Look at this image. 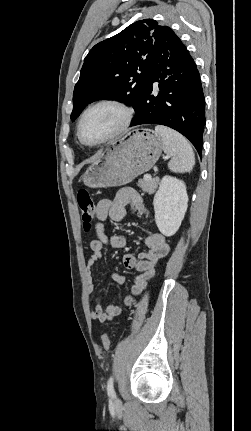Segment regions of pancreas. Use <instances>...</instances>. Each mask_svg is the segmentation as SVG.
Returning <instances> with one entry per match:
<instances>
[{"label":"pancreas","instance_id":"1","mask_svg":"<svg viewBox=\"0 0 251 431\" xmlns=\"http://www.w3.org/2000/svg\"><path fill=\"white\" fill-rule=\"evenodd\" d=\"M159 183V179L158 178H154L151 180H145V179H140L138 181V186L146 193L148 194H153L157 188V185Z\"/></svg>","mask_w":251,"mask_h":431}]
</instances>
